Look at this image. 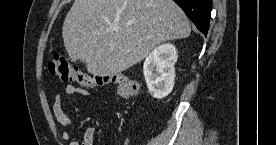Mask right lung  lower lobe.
<instances>
[{
  "instance_id": "1",
  "label": "right lung lower lobe",
  "mask_w": 276,
  "mask_h": 145,
  "mask_svg": "<svg viewBox=\"0 0 276 145\" xmlns=\"http://www.w3.org/2000/svg\"><path fill=\"white\" fill-rule=\"evenodd\" d=\"M205 36L209 29L211 0H173Z\"/></svg>"
}]
</instances>
